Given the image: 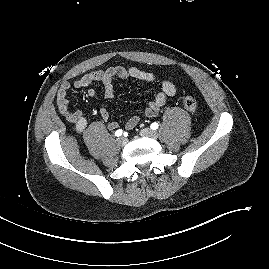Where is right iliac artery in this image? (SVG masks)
I'll use <instances>...</instances> for the list:
<instances>
[{
	"instance_id": "right-iliac-artery-1",
	"label": "right iliac artery",
	"mask_w": 269,
	"mask_h": 269,
	"mask_svg": "<svg viewBox=\"0 0 269 269\" xmlns=\"http://www.w3.org/2000/svg\"><path fill=\"white\" fill-rule=\"evenodd\" d=\"M123 134V131L121 129H118L116 132H115V135L117 137L121 136Z\"/></svg>"
}]
</instances>
